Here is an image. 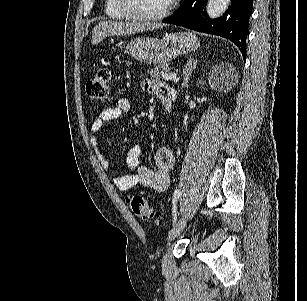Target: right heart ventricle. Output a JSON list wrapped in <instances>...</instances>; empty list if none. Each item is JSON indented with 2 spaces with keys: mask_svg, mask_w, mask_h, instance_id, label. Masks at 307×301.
Returning <instances> with one entry per match:
<instances>
[{
  "mask_svg": "<svg viewBox=\"0 0 307 301\" xmlns=\"http://www.w3.org/2000/svg\"><path fill=\"white\" fill-rule=\"evenodd\" d=\"M108 5H106L107 10H105V17H125L124 9H116L117 5H120V1L106 0Z\"/></svg>",
  "mask_w": 307,
  "mask_h": 301,
  "instance_id": "e07e8e85",
  "label": "right heart ventricle"
}]
</instances>
